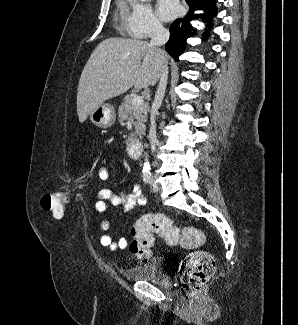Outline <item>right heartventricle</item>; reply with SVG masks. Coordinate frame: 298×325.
Instances as JSON below:
<instances>
[{
    "label": "right heart ventricle",
    "instance_id": "right-heart-ventricle-1",
    "mask_svg": "<svg viewBox=\"0 0 298 325\" xmlns=\"http://www.w3.org/2000/svg\"><path fill=\"white\" fill-rule=\"evenodd\" d=\"M117 20L120 27H125L130 22L129 5L127 1H119L117 5ZM119 37H127L121 35Z\"/></svg>",
    "mask_w": 298,
    "mask_h": 325
}]
</instances>
